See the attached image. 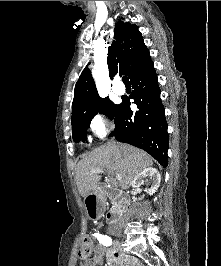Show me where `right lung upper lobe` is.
I'll use <instances>...</instances> for the list:
<instances>
[{
    "label": "right lung upper lobe",
    "instance_id": "cb5924a9",
    "mask_svg": "<svg viewBox=\"0 0 221 266\" xmlns=\"http://www.w3.org/2000/svg\"><path fill=\"white\" fill-rule=\"evenodd\" d=\"M150 60L149 50L138 27L128 22H116L114 40L108 48L109 76L113 78L119 73L130 77L137 68ZM100 99L91 71L86 66L75 85L72 118L92 110Z\"/></svg>",
    "mask_w": 221,
    "mask_h": 266
}]
</instances>
